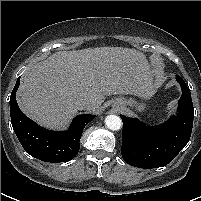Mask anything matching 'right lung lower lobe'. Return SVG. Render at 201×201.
Instances as JSON below:
<instances>
[{"label":"right lung lower lobe","instance_id":"obj_1","mask_svg":"<svg viewBox=\"0 0 201 201\" xmlns=\"http://www.w3.org/2000/svg\"><path fill=\"white\" fill-rule=\"evenodd\" d=\"M20 77L10 97L11 123L24 150L31 156L45 162H66L73 159L80 149V138L84 127L95 115H78L67 131H51L29 119L20 110L16 101V91Z\"/></svg>","mask_w":201,"mask_h":201}]
</instances>
